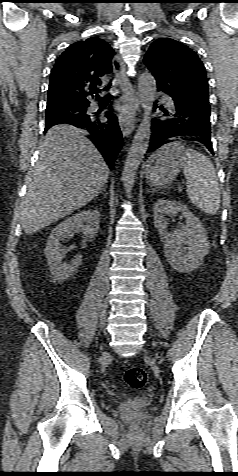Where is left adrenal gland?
Here are the masks:
<instances>
[{
	"label": "left adrenal gland",
	"instance_id": "obj_1",
	"mask_svg": "<svg viewBox=\"0 0 238 476\" xmlns=\"http://www.w3.org/2000/svg\"><path fill=\"white\" fill-rule=\"evenodd\" d=\"M150 192H157V191L155 189H151V190H149V193Z\"/></svg>",
	"mask_w": 238,
	"mask_h": 476
}]
</instances>
